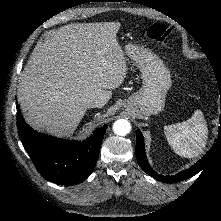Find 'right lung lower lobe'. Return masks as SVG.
I'll use <instances>...</instances> for the list:
<instances>
[{
    "mask_svg": "<svg viewBox=\"0 0 221 221\" xmlns=\"http://www.w3.org/2000/svg\"><path fill=\"white\" fill-rule=\"evenodd\" d=\"M17 127L37 171L50 182L73 185L84 181L93 171L107 125L98 128L85 141L63 140L37 133L25 123L18 110Z\"/></svg>",
    "mask_w": 221,
    "mask_h": 221,
    "instance_id": "1",
    "label": "right lung lower lobe"
}]
</instances>
